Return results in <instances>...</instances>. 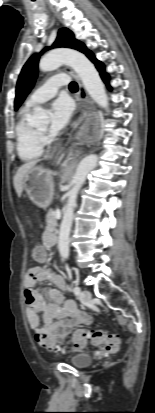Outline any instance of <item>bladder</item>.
<instances>
[{
	"label": "bladder",
	"mask_w": 155,
	"mask_h": 413,
	"mask_svg": "<svg viewBox=\"0 0 155 413\" xmlns=\"http://www.w3.org/2000/svg\"><path fill=\"white\" fill-rule=\"evenodd\" d=\"M92 362H93V357L85 353L74 355L70 360V363L75 368H86L90 366Z\"/></svg>",
	"instance_id": "31cf9c89"
}]
</instances>
